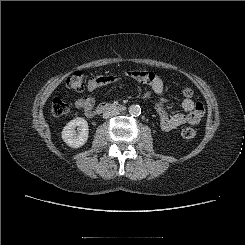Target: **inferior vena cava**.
I'll return each mask as SVG.
<instances>
[{"instance_id": "1", "label": "inferior vena cava", "mask_w": 245, "mask_h": 245, "mask_svg": "<svg viewBox=\"0 0 245 245\" xmlns=\"http://www.w3.org/2000/svg\"><path fill=\"white\" fill-rule=\"evenodd\" d=\"M119 112L118 110L116 109H112V110H107L103 113V118L107 119V118H110V117H113V116H116L118 115Z\"/></svg>"}]
</instances>
